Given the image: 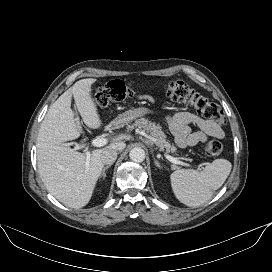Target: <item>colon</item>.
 I'll return each instance as SVG.
<instances>
[{
  "instance_id": "5ec220e1",
  "label": "colon",
  "mask_w": 272,
  "mask_h": 272,
  "mask_svg": "<svg viewBox=\"0 0 272 272\" xmlns=\"http://www.w3.org/2000/svg\"><path fill=\"white\" fill-rule=\"evenodd\" d=\"M134 94L130 84L121 80H112L100 86L94 95V102L101 106L121 102ZM166 94L172 100L195 109L206 120L218 124L225 123V114L222 109L209 98L196 91L183 81H172L168 84ZM223 146L217 140L210 141L206 146L209 156H217L222 152Z\"/></svg>"
}]
</instances>
